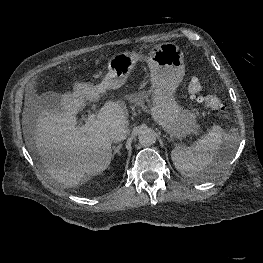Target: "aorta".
<instances>
[{"label": "aorta", "mask_w": 263, "mask_h": 263, "mask_svg": "<svg viewBox=\"0 0 263 263\" xmlns=\"http://www.w3.org/2000/svg\"><path fill=\"white\" fill-rule=\"evenodd\" d=\"M139 143L144 147H149L155 144L156 142V134L150 130H142L138 135Z\"/></svg>", "instance_id": "aorta-1"}]
</instances>
